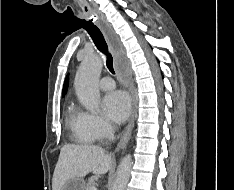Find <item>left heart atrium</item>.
Returning a JSON list of instances; mask_svg holds the SVG:
<instances>
[{
  "label": "left heart atrium",
  "mask_w": 234,
  "mask_h": 190,
  "mask_svg": "<svg viewBox=\"0 0 234 190\" xmlns=\"http://www.w3.org/2000/svg\"><path fill=\"white\" fill-rule=\"evenodd\" d=\"M103 107L108 119L114 123H122L129 115L131 100L126 92L117 90L104 97Z\"/></svg>",
  "instance_id": "left-heart-atrium-1"
}]
</instances>
